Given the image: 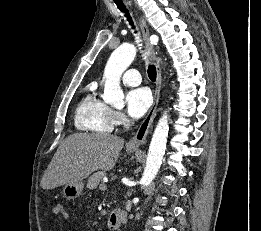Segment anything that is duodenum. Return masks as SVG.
Returning a JSON list of instances; mask_svg holds the SVG:
<instances>
[{
	"label": "duodenum",
	"instance_id": "duodenum-1",
	"mask_svg": "<svg viewBox=\"0 0 261 231\" xmlns=\"http://www.w3.org/2000/svg\"><path fill=\"white\" fill-rule=\"evenodd\" d=\"M125 216L126 214L122 209L120 208L113 209L108 217V221H107L108 227L112 230L117 229L121 225Z\"/></svg>",
	"mask_w": 261,
	"mask_h": 231
}]
</instances>
